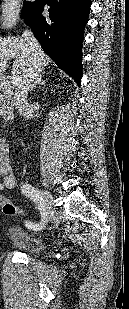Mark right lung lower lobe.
I'll return each mask as SVG.
<instances>
[{"instance_id":"right-lung-lower-lobe-1","label":"right lung lower lobe","mask_w":129,"mask_h":309,"mask_svg":"<svg viewBox=\"0 0 129 309\" xmlns=\"http://www.w3.org/2000/svg\"><path fill=\"white\" fill-rule=\"evenodd\" d=\"M50 5L49 16L41 11ZM90 0H37L25 16L35 38L55 63L77 84L81 79V43Z\"/></svg>"}]
</instances>
